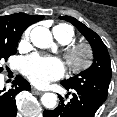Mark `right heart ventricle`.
I'll return each instance as SVG.
<instances>
[{
	"label": "right heart ventricle",
	"mask_w": 117,
	"mask_h": 117,
	"mask_svg": "<svg viewBox=\"0 0 117 117\" xmlns=\"http://www.w3.org/2000/svg\"><path fill=\"white\" fill-rule=\"evenodd\" d=\"M53 34L62 44H69L75 36L74 29L67 24H58L54 26Z\"/></svg>",
	"instance_id": "obj_1"
}]
</instances>
